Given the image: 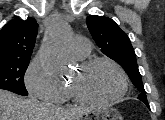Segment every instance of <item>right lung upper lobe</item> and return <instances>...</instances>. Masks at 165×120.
I'll return each mask as SVG.
<instances>
[{
  "instance_id": "cb5924a9",
  "label": "right lung upper lobe",
  "mask_w": 165,
  "mask_h": 120,
  "mask_svg": "<svg viewBox=\"0 0 165 120\" xmlns=\"http://www.w3.org/2000/svg\"><path fill=\"white\" fill-rule=\"evenodd\" d=\"M37 29L38 24L31 17L9 21L0 31V58L30 59Z\"/></svg>"
}]
</instances>
